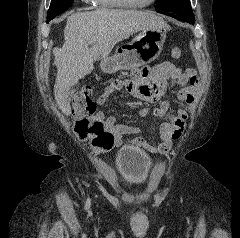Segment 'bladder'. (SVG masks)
Segmentation results:
<instances>
[{
    "instance_id": "bladder-1",
    "label": "bladder",
    "mask_w": 240,
    "mask_h": 238,
    "mask_svg": "<svg viewBox=\"0 0 240 238\" xmlns=\"http://www.w3.org/2000/svg\"><path fill=\"white\" fill-rule=\"evenodd\" d=\"M115 168L123 183L137 188L147 182L152 159L143 149L134 145H124L116 153Z\"/></svg>"
}]
</instances>
